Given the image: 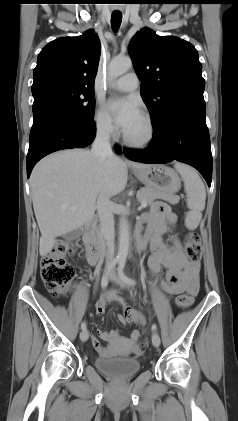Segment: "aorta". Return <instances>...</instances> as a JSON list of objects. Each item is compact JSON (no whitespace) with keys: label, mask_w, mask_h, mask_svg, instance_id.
I'll list each match as a JSON object with an SVG mask.
<instances>
[{"label":"aorta","mask_w":238,"mask_h":421,"mask_svg":"<svg viewBox=\"0 0 238 421\" xmlns=\"http://www.w3.org/2000/svg\"><path fill=\"white\" fill-rule=\"evenodd\" d=\"M132 68L130 58H114L108 66V74L111 80L118 78ZM130 243V230L126 218H121L119 225V246L117 261L125 263Z\"/></svg>","instance_id":"obj_1"}]
</instances>
